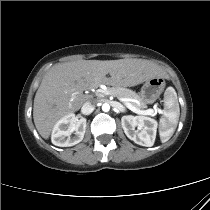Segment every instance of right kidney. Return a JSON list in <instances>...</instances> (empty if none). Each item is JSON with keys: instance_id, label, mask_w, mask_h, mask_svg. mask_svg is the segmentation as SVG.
<instances>
[{"instance_id": "1", "label": "right kidney", "mask_w": 210, "mask_h": 210, "mask_svg": "<svg viewBox=\"0 0 210 210\" xmlns=\"http://www.w3.org/2000/svg\"><path fill=\"white\" fill-rule=\"evenodd\" d=\"M86 119H77L73 113L61 118L54 125L51 141L55 146L69 147L78 144L84 138ZM74 132V136L71 134Z\"/></svg>"}]
</instances>
